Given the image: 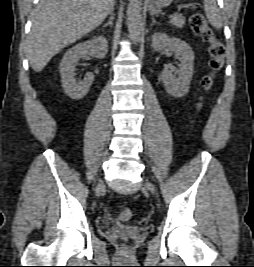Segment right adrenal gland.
Segmentation results:
<instances>
[{"label": "right adrenal gland", "mask_w": 254, "mask_h": 267, "mask_svg": "<svg viewBox=\"0 0 254 267\" xmlns=\"http://www.w3.org/2000/svg\"><path fill=\"white\" fill-rule=\"evenodd\" d=\"M113 21H114V15L111 14V15H110V18H109V20H108V22L105 23V24L103 25V28H104V27H108V26L112 27V25H113Z\"/></svg>", "instance_id": "2a0ac1e0"}]
</instances>
